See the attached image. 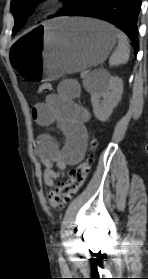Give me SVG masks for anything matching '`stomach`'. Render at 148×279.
<instances>
[{"mask_svg": "<svg viewBox=\"0 0 148 279\" xmlns=\"http://www.w3.org/2000/svg\"><path fill=\"white\" fill-rule=\"evenodd\" d=\"M116 41V29L104 21L56 18L16 39L10 61L19 82H55L105 61Z\"/></svg>", "mask_w": 148, "mask_h": 279, "instance_id": "obj_1", "label": "stomach"}]
</instances>
